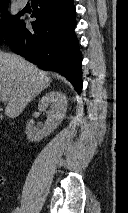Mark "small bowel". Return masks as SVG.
<instances>
[{"instance_id": "1", "label": "small bowel", "mask_w": 128, "mask_h": 213, "mask_svg": "<svg viewBox=\"0 0 128 213\" xmlns=\"http://www.w3.org/2000/svg\"><path fill=\"white\" fill-rule=\"evenodd\" d=\"M4 181V177L0 175V182ZM11 213H21V209L19 207H15Z\"/></svg>"}]
</instances>
